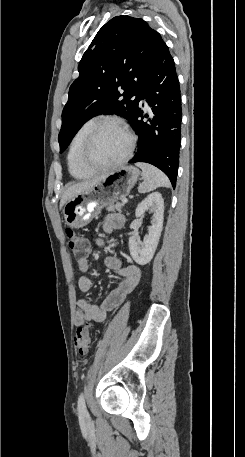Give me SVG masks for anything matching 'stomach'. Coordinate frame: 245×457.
I'll use <instances>...</instances> for the list:
<instances>
[{
	"instance_id": "0dacf381",
	"label": "stomach",
	"mask_w": 245,
	"mask_h": 457,
	"mask_svg": "<svg viewBox=\"0 0 245 457\" xmlns=\"http://www.w3.org/2000/svg\"><path fill=\"white\" fill-rule=\"evenodd\" d=\"M139 174L136 166H118L90 188L69 198L63 206L66 224L73 226V229H81V226L89 224L106 202H116L127 196Z\"/></svg>"
}]
</instances>
